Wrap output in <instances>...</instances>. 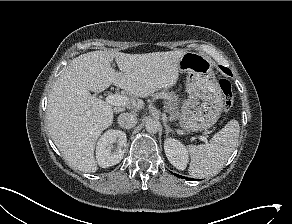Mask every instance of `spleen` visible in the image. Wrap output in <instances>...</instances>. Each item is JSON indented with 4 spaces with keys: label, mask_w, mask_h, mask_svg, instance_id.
I'll list each match as a JSON object with an SVG mask.
<instances>
[{
    "label": "spleen",
    "mask_w": 292,
    "mask_h": 224,
    "mask_svg": "<svg viewBox=\"0 0 292 224\" xmlns=\"http://www.w3.org/2000/svg\"><path fill=\"white\" fill-rule=\"evenodd\" d=\"M239 132V123L233 119L217 132L209 143L189 145L191 155L189 174L193 178H205L216 174L236 147Z\"/></svg>",
    "instance_id": "3e777b00"
}]
</instances>
